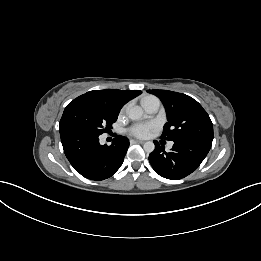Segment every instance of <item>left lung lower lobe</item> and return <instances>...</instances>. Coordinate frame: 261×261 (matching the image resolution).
I'll return each mask as SVG.
<instances>
[{
	"instance_id": "1",
	"label": "left lung lower lobe",
	"mask_w": 261,
	"mask_h": 261,
	"mask_svg": "<svg viewBox=\"0 0 261 261\" xmlns=\"http://www.w3.org/2000/svg\"><path fill=\"white\" fill-rule=\"evenodd\" d=\"M155 150L149 155L153 169L160 176L178 180L195 171L208 154L212 142L194 139L174 141L173 148L166 152L164 146L154 141Z\"/></svg>"
}]
</instances>
